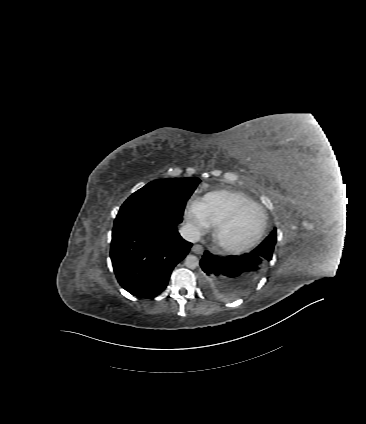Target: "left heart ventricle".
Wrapping results in <instances>:
<instances>
[{
    "mask_svg": "<svg viewBox=\"0 0 366 424\" xmlns=\"http://www.w3.org/2000/svg\"><path fill=\"white\" fill-rule=\"evenodd\" d=\"M262 215L256 208L244 210L237 220L223 233L229 243H244L254 238L262 226Z\"/></svg>",
    "mask_w": 366,
    "mask_h": 424,
    "instance_id": "left-heart-ventricle-1",
    "label": "left heart ventricle"
}]
</instances>
